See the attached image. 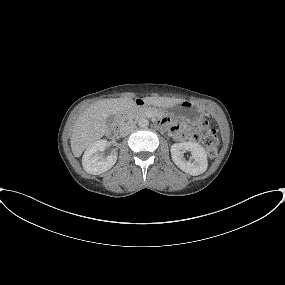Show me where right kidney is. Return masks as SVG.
Returning <instances> with one entry per match:
<instances>
[{"mask_svg":"<svg viewBox=\"0 0 285 285\" xmlns=\"http://www.w3.org/2000/svg\"><path fill=\"white\" fill-rule=\"evenodd\" d=\"M107 146V140L101 139L92 143L84 152L82 165L87 173L99 175L109 170L117 161V153L114 152L103 158L98 155L104 151Z\"/></svg>","mask_w":285,"mask_h":285,"instance_id":"ca27d5eb","label":"right kidney"}]
</instances>
